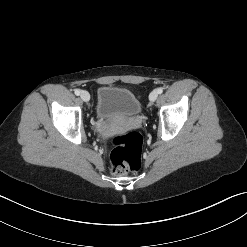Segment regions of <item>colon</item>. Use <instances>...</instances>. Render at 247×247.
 Here are the masks:
<instances>
[{"label":"colon","instance_id":"obj_1","mask_svg":"<svg viewBox=\"0 0 247 247\" xmlns=\"http://www.w3.org/2000/svg\"><path fill=\"white\" fill-rule=\"evenodd\" d=\"M143 138L136 131L115 135L110 140V170L115 175L137 172L141 167Z\"/></svg>","mask_w":247,"mask_h":247}]
</instances>
